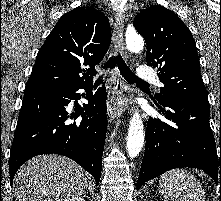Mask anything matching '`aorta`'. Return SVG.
<instances>
[{
    "mask_svg": "<svg viewBox=\"0 0 221 201\" xmlns=\"http://www.w3.org/2000/svg\"><path fill=\"white\" fill-rule=\"evenodd\" d=\"M126 46L131 52L137 53L143 49L144 40L140 35L134 34L126 38ZM144 138V125L139 112L135 110L132 118L130 119L127 136V151L128 156L131 159L137 157L140 153L144 144Z\"/></svg>",
    "mask_w": 221,
    "mask_h": 201,
    "instance_id": "obj_1",
    "label": "aorta"
}]
</instances>
